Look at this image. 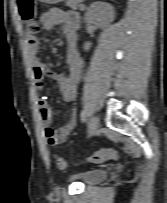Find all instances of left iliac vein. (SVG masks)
Returning <instances> with one entry per match:
<instances>
[{
    "mask_svg": "<svg viewBox=\"0 0 167 203\" xmlns=\"http://www.w3.org/2000/svg\"><path fill=\"white\" fill-rule=\"evenodd\" d=\"M99 127V119L97 116H92L88 122V136H93Z\"/></svg>",
    "mask_w": 167,
    "mask_h": 203,
    "instance_id": "left-iliac-vein-1",
    "label": "left iliac vein"
}]
</instances>
